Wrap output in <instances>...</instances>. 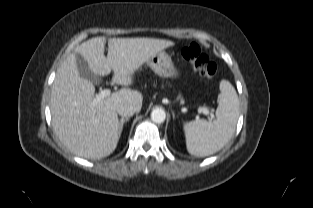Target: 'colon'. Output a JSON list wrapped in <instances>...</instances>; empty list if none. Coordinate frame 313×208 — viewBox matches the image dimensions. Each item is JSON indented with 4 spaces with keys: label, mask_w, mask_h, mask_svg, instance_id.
<instances>
[{
    "label": "colon",
    "mask_w": 313,
    "mask_h": 208,
    "mask_svg": "<svg viewBox=\"0 0 313 208\" xmlns=\"http://www.w3.org/2000/svg\"><path fill=\"white\" fill-rule=\"evenodd\" d=\"M181 54L200 75L209 79L216 76V64L209 60L197 43H191L183 47Z\"/></svg>",
    "instance_id": "obj_1"
}]
</instances>
